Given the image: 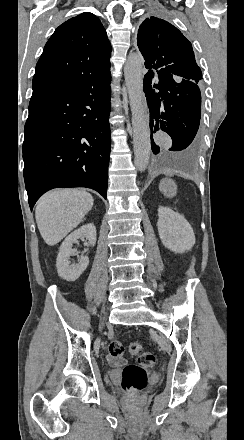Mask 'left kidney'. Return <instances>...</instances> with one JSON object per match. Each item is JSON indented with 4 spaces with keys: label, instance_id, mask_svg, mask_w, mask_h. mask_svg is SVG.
<instances>
[{
    "label": "left kidney",
    "instance_id": "obj_1",
    "mask_svg": "<svg viewBox=\"0 0 244 440\" xmlns=\"http://www.w3.org/2000/svg\"><path fill=\"white\" fill-rule=\"evenodd\" d=\"M158 216V234L165 248L176 254H184L187 250H192L195 234L184 216L166 206H159Z\"/></svg>",
    "mask_w": 244,
    "mask_h": 440
}]
</instances>
